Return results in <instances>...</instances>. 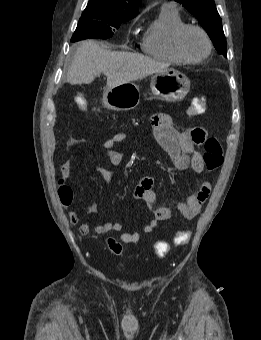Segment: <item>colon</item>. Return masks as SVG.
Here are the masks:
<instances>
[{"label": "colon", "instance_id": "5ec220e1", "mask_svg": "<svg viewBox=\"0 0 261 340\" xmlns=\"http://www.w3.org/2000/svg\"><path fill=\"white\" fill-rule=\"evenodd\" d=\"M77 105L79 109L86 110V102L84 100H78ZM206 103L204 97L194 98L191 105L188 108V114L191 116L200 115L204 112ZM204 152V163L208 170L213 171L221 166L223 163V149L220 142L216 138H209L206 140ZM58 196L62 204L68 206L74 199L72 188L64 183L59 184ZM191 233L183 230L175 234L172 241H158L154 244V253L157 257H165L174 246H180L188 243ZM108 248L115 255L122 254V246L114 239H108Z\"/></svg>", "mask_w": 261, "mask_h": 340}]
</instances>
